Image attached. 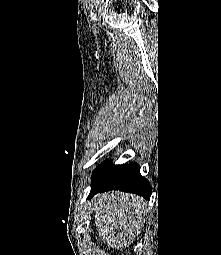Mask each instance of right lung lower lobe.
Listing matches in <instances>:
<instances>
[{
	"label": "right lung lower lobe",
	"mask_w": 221,
	"mask_h": 255,
	"mask_svg": "<svg viewBox=\"0 0 221 255\" xmlns=\"http://www.w3.org/2000/svg\"><path fill=\"white\" fill-rule=\"evenodd\" d=\"M109 190L136 193L146 199L152 192L149 181L140 175L137 163L110 166V162L105 161L94 171L89 198Z\"/></svg>",
	"instance_id": "1"
}]
</instances>
